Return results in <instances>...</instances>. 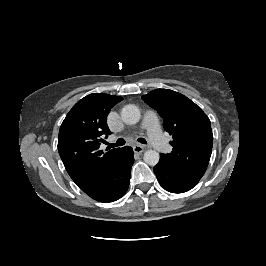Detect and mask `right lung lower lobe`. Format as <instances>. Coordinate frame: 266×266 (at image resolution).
<instances>
[{
  "label": "right lung lower lobe",
  "mask_w": 266,
  "mask_h": 266,
  "mask_svg": "<svg viewBox=\"0 0 266 266\" xmlns=\"http://www.w3.org/2000/svg\"><path fill=\"white\" fill-rule=\"evenodd\" d=\"M133 162V149L129 146L123 147L114 163L105 186L91 198L104 203L121 198L128 189Z\"/></svg>",
  "instance_id": "98d812e1"
}]
</instances>
